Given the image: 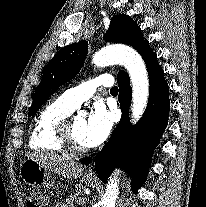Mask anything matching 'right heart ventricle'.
I'll list each match as a JSON object with an SVG mask.
<instances>
[{
  "mask_svg": "<svg viewBox=\"0 0 206 207\" xmlns=\"http://www.w3.org/2000/svg\"><path fill=\"white\" fill-rule=\"evenodd\" d=\"M74 110L62 96L46 104L35 118L29 136V147L36 151L64 152L57 141L56 128Z\"/></svg>",
  "mask_w": 206,
  "mask_h": 207,
  "instance_id": "right-heart-ventricle-1",
  "label": "right heart ventricle"
}]
</instances>
